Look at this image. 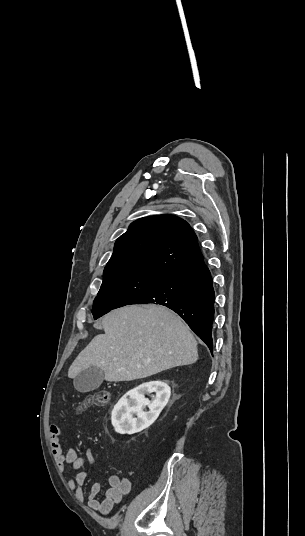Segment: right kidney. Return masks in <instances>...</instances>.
<instances>
[{
  "label": "right kidney",
  "instance_id": "1",
  "mask_svg": "<svg viewBox=\"0 0 305 536\" xmlns=\"http://www.w3.org/2000/svg\"><path fill=\"white\" fill-rule=\"evenodd\" d=\"M152 392H155V396L150 402L144 396L152 394ZM170 394V386L162 380L145 382V384H140L138 388L130 390L116 404L112 412V426H114L115 432L118 434H136V432H142L145 428H149L165 408ZM127 396H130L129 400H127ZM145 406H148L149 412H143ZM133 414H136L137 418H133Z\"/></svg>",
  "mask_w": 305,
  "mask_h": 536
}]
</instances>
